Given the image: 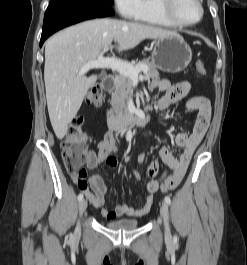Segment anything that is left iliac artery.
I'll list each match as a JSON object with an SVG mask.
<instances>
[{"instance_id":"left-iliac-artery-1","label":"left iliac artery","mask_w":247,"mask_h":265,"mask_svg":"<svg viewBox=\"0 0 247 265\" xmlns=\"http://www.w3.org/2000/svg\"><path fill=\"white\" fill-rule=\"evenodd\" d=\"M165 202L170 205L171 204V199L169 196H165Z\"/></svg>"}]
</instances>
